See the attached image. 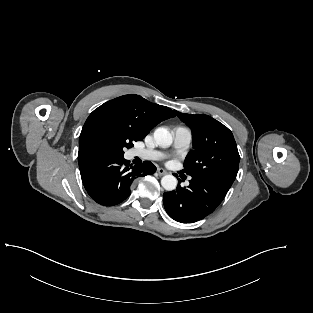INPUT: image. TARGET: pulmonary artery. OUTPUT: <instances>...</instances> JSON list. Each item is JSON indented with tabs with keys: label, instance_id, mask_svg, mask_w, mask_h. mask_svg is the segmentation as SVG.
<instances>
[{
	"label": "pulmonary artery",
	"instance_id": "e3ab8cb5",
	"mask_svg": "<svg viewBox=\"0 0 313 313\" xmlns=\"http://www.w3.org/2000/svg\"><path fill=\"white\" fill-rule=\"evenodd\" d=\"M173 146L177 151L187 149L192 141V133L189 128L179 126L173 130ZM133 156H137L144 160H161L165 157L164 153L153 149H136L132 152Z\"/></svg>",
	"mask_w": 313,
	"mask_h": 313
}]
</instances>
